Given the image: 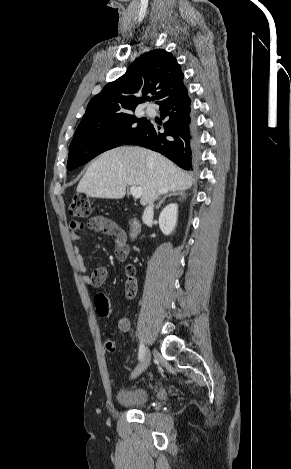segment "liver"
Segmentation results:
<instances>
[{"mask_svg":"<svg viewBox=\"0 0 291 469\" xmlns=\"http://www.w3.org/2000/svg\"><path fill=\"white\" fill-rule=\"evenodd\" d=\"M127 186L143 189L147 205L169 191L187 190L192 177L159 153L139 147H118L101 154L88 167L77 192L92 198L121 199Z\"/></svg>","mask_w":291,"mask_h":469,"instance_id":"1","label":"liver"}]
</instances>
